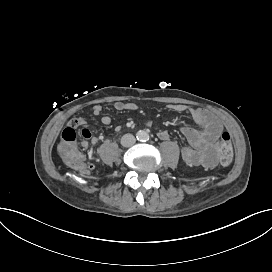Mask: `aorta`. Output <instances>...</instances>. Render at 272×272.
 <instances>
[{
    "label": "aorta",
    "instance_id": "1",
    "mask_svg": "<svg viewBox=\"0 0 272 272\" xmlns=\"http://www.w3.org/2000/svg\"><path fill=\"white\" fill-rule=\"evenodd\" d=\"M137 139L140 141L146 140L147 139V134L145 131H138L137 132Z\"/></svg>",
    "mask_w": 272,
    "mask_h": 272
}]
</instances>
